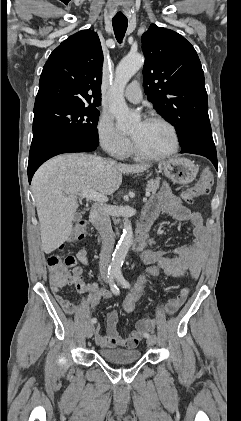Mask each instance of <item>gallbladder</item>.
<instances>
[{
  "instance_id": "obj_1",
  "label": "gallbladder",
  "mask_w": 241,
  "mask_h": 421,
  "mask_svg": "<svg viewBox=\"0 0 241 421\" xmlns=\"http://www.w3.org/2000/svg\"><path fill=\"white\" fill-rule=\"evenodd\" d=\"M82 218V214H81V212H76L75 213V215H74V221H78V220H80Z\"/></svg>"
}]
</instances>
